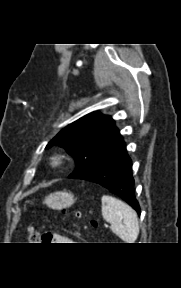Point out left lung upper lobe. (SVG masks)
<instances>
[{"label":"left lung upper lobe","mask_w":181,"mask_h":288,"mask_svg":"<svg viewBox=\"0 0 181 288\" xmlns=\"http://www.w3.org/2000/svg\"><path fill=\"white\" fill-rule=\"evenodd\" d=\"M122 139L110 116L92 112L61 130L46 148H65L77 164L69 177L81 179L106 159Z\"/></svg>","instance_id":"5c2ea615"}]
</instances>
